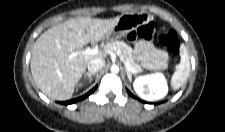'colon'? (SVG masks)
<instances>
[{"mask_svg": "<svg viewBox=\"0 0 225 132\" xmlns=\"http://www.w3.org/2000/svg\"><path fill=\"white\" fill-rule=\"evenodd\" d=\"M128 38L133 40L142 38L145 40H158L159 44L167 49L173 56H177L179 52L180 42L175 31L169 30L162 34H158L157 24L155 22H147L136 31L128 34Z\"/></svg>", "mask_w": 225, "mask_h": 132, "instance_id": "1", "label": "colon"}]
</instances>
